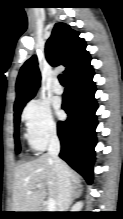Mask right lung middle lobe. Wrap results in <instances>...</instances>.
Here are the masks:
<instances>
[{"label": "right lung middle lobe", "mask_w": 123, "mask_h": 219, "mask_svg": "<svg viewBox=\"0 0 123 219\" xmlns=\"http://www.w3.org/2000/svg\"><path fill=\"white\" fill-rule=\"evenodd\" d=\"M23 107H21L20 109H18L14 113V127H15V129H14V139H15V150H16L17 153L20 152L19 122H20V115H21V111H22Z\"/></svg>", "instance_id": "right-lung-middle-lobe-1"}]
</instances>
